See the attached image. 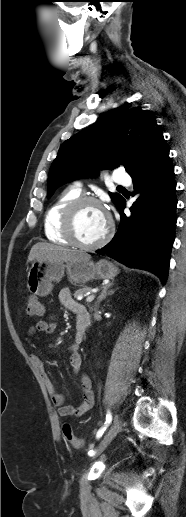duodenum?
Here are the masks:
<instances>
[{"mask_svg":"<svg viewBox=\"0 0 186 517\" xmlns=\"http://www.w3.org/2000/svg\"><path fill=\"white\" fill-rule=\"evenodd\" d=\"M91 323V317L88 310L85 308L78 312L77 315V328L78 332L81 336L84 335V332L87 330Z\"/></svg>","mask_w":186,"mask_h":517,"instance_id":"obj_1","label":"duodenum"}]
</instances>
